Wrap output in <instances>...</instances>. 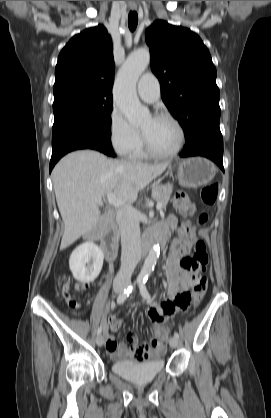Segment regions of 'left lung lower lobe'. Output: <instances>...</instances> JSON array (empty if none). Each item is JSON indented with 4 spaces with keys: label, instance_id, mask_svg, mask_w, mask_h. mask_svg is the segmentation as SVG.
Wrapping results in <instances>:
<instances>
[{
    "label": "left lung lower lobe",
    "instance_id": "1",
    "mask_svg": "<svg viewBox=\"0 0 271 418\" xmlns=\"http://www.w3.org/2000/svg\"><path fill=\"white\" fill-rule=\"evenodd\" d=\"M181 157L203 156L214 161L223 171V138L219 127L195 131L187 140Z\"/></svg>",
    "mask_w": 271,
    "mask_h": 418
}]
</instances>
